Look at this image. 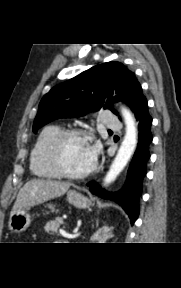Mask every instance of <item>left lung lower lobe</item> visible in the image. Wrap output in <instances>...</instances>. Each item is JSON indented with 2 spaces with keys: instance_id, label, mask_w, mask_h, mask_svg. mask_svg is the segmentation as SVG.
<instances>
[{
  "instance_id": "1",
  "label": "left lung lower lobe",
  "mask_w": 181,
  "mask_h": 288,
  "mask_svg": "<svg viewBox=\"0 0 181 288\" xmlns=\"http://www.w3.org/2000/svg\"><path fill=\"white\" fill-rule=\"evenodd\" d=\"M131 109L138 121L139 140L124 186L118 192L107 193L95 184L94 181L89 182L88 185L93 194L121 205L133 225L139 214V197L142 192V180L146 175L147 161L150 158L149 145L153 139L150 131L152 118L149 115L148 103L142 93V88L135 95Z\"/></svg>"
}]
</instances>
